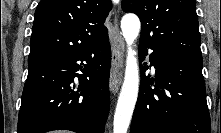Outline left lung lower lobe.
<instances>
[{"instance_id":"left-lung-lower-lobe-1","label":"left lung lower lobe","mask_w":221,"mask_h":133,"mask_svg":"<svg viewBox=\"0 0 221 133\" xmlns=\"http://www.w3.org/2000/svg\"><path fill=\"white\" fill-rule=\"evenodd\" d=\"M156 69L155 79L141 66L139 95L130 133H211L202 76V57L140 41L139 56L147 51Z\"/></svg>"}]
</instances>
